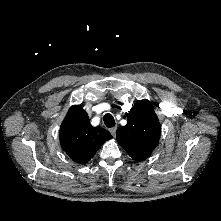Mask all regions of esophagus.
<instances>
[{"instance_id": "1", "label": "esophagus", "mask_w": 221, "mask_h": 221, "mask_svg": "<svg viewBox=\"0 0 221 221\" xmlns=\"http://www.w3.org/2000/svg\"><path fill=\"white\" fill-rule=\"evenodd\" d=\"M116 130H117V127H112L109 129L110 133L112 134L113 137H115L116 135Z\"/></svg>"}]
</instances>
